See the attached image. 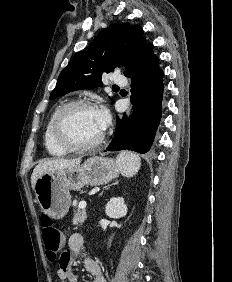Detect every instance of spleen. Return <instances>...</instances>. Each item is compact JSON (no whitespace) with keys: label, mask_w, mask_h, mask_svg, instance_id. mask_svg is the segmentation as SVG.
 <instances>
[{"label":"spleen","mask_w":232,"mask_h":282,"mask_svg":"<svg viewBox=\"0 0 232 282\" xmlns=\"http://www.w3.org/2000/svg\"><path fill=\"white\" fill-rule=\"evenodd\" d=\"M116 164L122 175L132 177L138 172L141 166V159L133 152L124 151L117 156Z\"/></svg>","instance_id":"3e777b00"}]
</instances>
